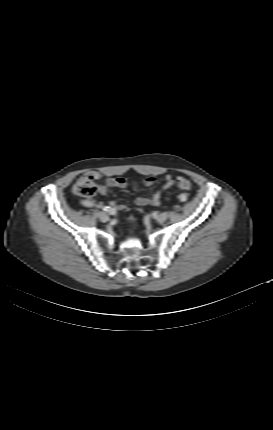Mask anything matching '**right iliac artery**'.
<instances>
[{
  "label": "right iliac artery",
  "instance_id": "82829eb1",
  "mask_svg": "<svg viewBox=\"0 0 273 430\" xmlns=\"http://www.w3.org/2000/svg\"><path fill=\"white\" fill-rule=\"evenodd\" d=\"M103 210H104V211H106V212H108V213H109V214H111V215L116 214V209H114V208H112V207H109V206L104 207V208H103Z\"/></svg>",
  "mask_w": 273,
  "mask_h": 430
}]
</instances>
